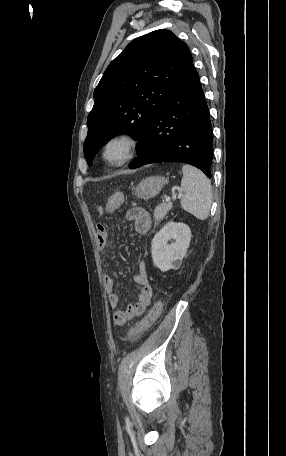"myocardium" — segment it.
Masks as SVG:
<instances>
[{
    "label": "myocardium",
    "mask_w": 286,
    "mask_h": 456,
    "mask_svg": "<svg viewBox=\"0 0 286 456\" xmlns=\"http://www.w3.org/2000/svg\"><path fill=\"white\" fill-rule=\"evenodd\" d=\"M119 140L125 141L128 144L127 155L119 161H110V160H108V158L106 156L108 147L113 142L119 141ZM140 145H141L140 138L134 132H132V131L117 132V133L111 135L105 141V143L102 147V154H101L102 159L109 166H113V167L123 166V165L127 164L129 161H131L136 156V154L138 153V150L140 148Z\"/></svg>",
    "instance_id": "myocardium-1"
}]
</instances>
